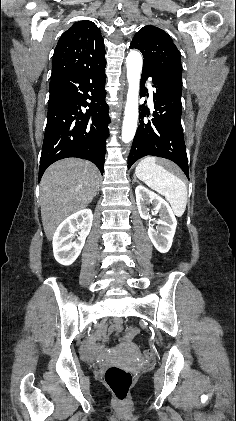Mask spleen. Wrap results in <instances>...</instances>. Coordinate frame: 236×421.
Here are the masks:
<instances>
[{"label":"spleen","instance_id":"3e777b00","mask_svg":"<svg viewBox=\"0 0 236 421\" xmlns=\"http://www.w3.org/2000/svg\"><path fill=\"white\" fill-rule=\"evenodd\" d=\"M135 174L150 188L157 190L169 200L176 217H182L187 204V186L181 178L158 164L155 156H146L138 162Z\"/></svg>","mask_w":236,"mask_h":421}]
</instances>
